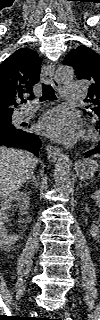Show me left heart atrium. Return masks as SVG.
<instances>
[{"instance_id": "left-heart-atrium-1", "label": "left heart atrium", "mask_w": 100, "mask_h": 320, "mask_svg": "<svg viewBox=\"0 0 100 320\" xmlns=\"http://www.w3.org/2000/svg\"><path fill=\"white\" fill-rule=\"evenodd\" d=\"M37 129L55 141L69 144L79 138L81 123L76 114L63 108H55L40 118Z\"/></svg>"}]
</instances>
